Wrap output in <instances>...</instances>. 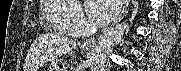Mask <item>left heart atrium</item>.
<instances>
[{"label":"left heart atrium","mask_w":181,"mask_h":71,"mask_svg":"<svg viewBox=\"0 0 181 71\" xmlns=\"http://www.w3.org/2000/svg\"><path fill=\"white\" fill-rule=\"evenodd\" d=\"M120 3L121 1L118 0L89 1L87 12L92 21L98 24H105L118 13Z\"/></svg>","instance_id":"1"}]
</instances>
